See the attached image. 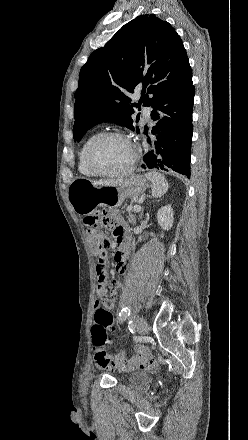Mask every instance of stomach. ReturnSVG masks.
<instances>
[{"instance_id":"0dacf381","label":"stomach","mask_w":248,"mask_h":440,"mask_svg":"<svg viewBox=\"0 0 248 440\" xmlns=\"http://www.w3.org/2000/svg\"><path fill=\"white\" fill-rule=\"evenodd\" d=\"M146 179L132 175L114 185H94L87 179H75L68 187V200L79 214H87L98 206L116 208L127 198H137L147 188Z\"/></svg>"}]
</instances>
